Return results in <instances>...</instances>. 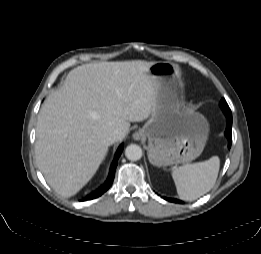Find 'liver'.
Segmentation results:
<instances>
[{
	"instance_id": "liver-1",
	"label": "liver",
	"mask_w": 261,
	"mask_h": 254,
	"mask_svg": "<svg viewBox=\"0 0 261 254\" xmlns=\"http://www.w3.org/2000/svg\"><path fill=\"white\" fill-rule=\"evenodd\" d=\"M155 62L88 63L71 70L46 98L38 115L35 156L51 188L63 197L78 193L105 158L113 131L123 140L130 122L151 116L157 82Z\"/></svg>"
}]
</instances>
